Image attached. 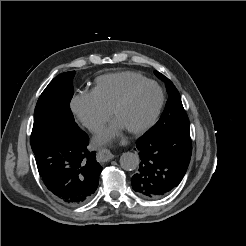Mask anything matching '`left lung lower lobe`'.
<instances>
[{
	"label": "left lung lower lobe",
	"mask_w": 246,
	"mask_h": 246,
	"mask_svg": "<svg viewBox=\"0 0 246 246\" xmlns=\"http://www.w3.org/2000/svg\"><path fill=\"white\" fill-rule=\"evenodd\" d=\"M136 148L141 162L131 183L140 196L161 198L179 185L192 153L189 130L146 133L137 140Z\"/></svg>",
	"instance_id": "1"
}]
</instances>
